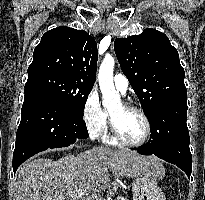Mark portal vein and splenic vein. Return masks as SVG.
Returning <instances> with one entry per match:
<instances>
[{"label":"portal vein and splenic vein","instance_id":"portal-vein-and-splenic-vein-1","mask_svg":"<svg viewBox=\"0 0 205 200\" xmlns=\"http://www.w3.org/2000/svg\"><path fill=\"white\" fill-rule=\"evenodd\" d=\"M82 193H79V192H76V193H71V195H81ZM94 199H96V200H104V199H102L101 197H97V195H94V197H93V200Z\"/></svg>","mask_w":205,"mask_h":200}]
</instances>
